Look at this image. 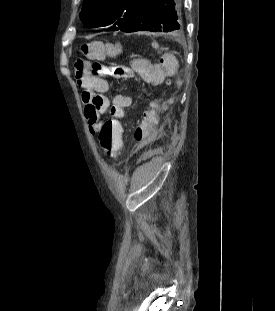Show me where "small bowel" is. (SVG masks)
I'll return each instance as SVG.
<instances>
[{"label": "small bowel", "instance_id": "small-bowel-1", "mask_svg": "<svg viewBox=\"0 0 275 311\" xmlns=\"http://www.w3.org/2000/svg\"><path fill=\"white\" fill-rule=\"evenodd\" d=\"M157 47V43H152ZM155 52V64L150 65V60H129V67L135 72H139V80H149V87H162V96H154L153 101L146 105L143 114L139 116V121L134 126V132L130 133L133 143H153L159 121L158 117L163 112H171L175 106V92H179L180 76H182V66L180 56H165L164 46H159ZM105 53H110L111 57H120L121 51L115 46H105ZM78 85L84 92L82 102L85 105V117L89 123L90 131L97 134L103 123L100 116L109 111L112 118H120L122 121L126 117V108L132 104V99L128 95L114 94L108 96V83L102 78L91 76L84 72L76 76ZM168 81V82H167ZM168 85V86H167ZM175 87V88H174ZM121 133V130H118Z\"/></svg>", "mask_w": 275, "mask_h": 311}]
</instances>
